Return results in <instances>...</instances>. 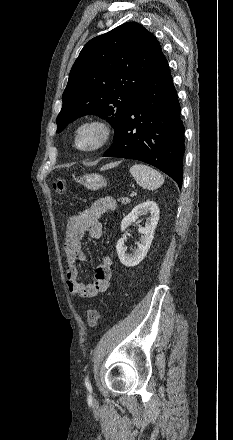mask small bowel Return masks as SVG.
I'll return each instance as SVG.
<instances>
[{"label":"small bowel","mask_w":233,"mask_h":440,"mask_svg":"<svg viewBox=\"0 0 233 440\" xmlns=\"http://www.w3.org/2000/svg\"><path fill=\"white\" fill-rule=\"evenodd\" d=\"M117 204L112 196L96 200L90 207L71 215L67 222L64 250L66 254V283L71 294L81 298H93L108 290L112 276L113 260L105 255L95 269L94 281L84 284L78 280L80 263L86 257L81 249V241L87 232L93 239L102 235L101 217L108 211L115 210Z\"/></svg>","instance_id":"1"}]
</instances>
